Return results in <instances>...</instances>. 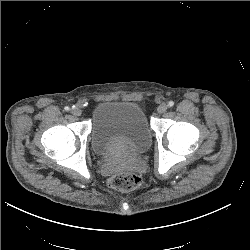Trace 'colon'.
<instances>
[{
	"label": "colon",
	"instance_id": "1",
	"mask_svg": "<svg viewBox=\"0 0 250 250\" xmlns=\"http://www.w3.org/2000/svg\"><path fill=\"white\" fill-rule=\"evenodd\" d=\"M142 183V178L137 173L120 172L113 174L108 179V186L119 192H129L138 188Z\"/></svg>",
	"mask_w": 250,
	"mask_h": 250
}]
</instances>
